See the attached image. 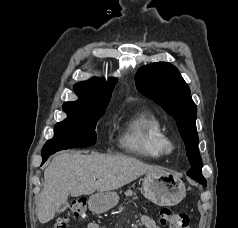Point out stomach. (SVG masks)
Instances as JSON below:
<instances>
[{
	"instance_id": "0dacf381",
	"label": "stomach",
	"mask_w": 238,
	"mask_h": 228,
	"mask_svg": "<svg viewBox=\"0 0 238 228\" xmlns=\"http://www.w3.org/2000/svg\"><path fill=\"white\" fill-rule=\"evenodd\" d=\"M143 193L156 205L174 206L186 196V188L178 176L161 171L146 174L143 180ZM118 202L119 195L116 192H100L90 197L89 207L96 213H102L116 206Z\"/></svg>"
}]
</instances>
